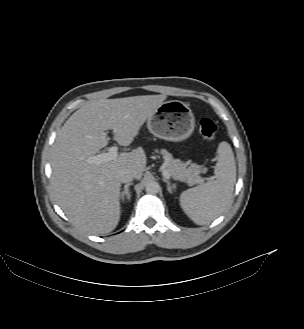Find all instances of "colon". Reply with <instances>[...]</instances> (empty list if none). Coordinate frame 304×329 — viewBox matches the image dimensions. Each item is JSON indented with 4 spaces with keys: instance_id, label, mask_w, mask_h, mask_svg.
Instances as JSON below:
<instances>
[{
    "instance_id": "obj_1",
    "label": "colon",
    "mask_w": 304,
    "mask_h": 329,
    "mask_svg": "<svg viewBox=\"0 0 304 329\" xmlns=\"http://www.w3.org/2000/svg\"><path fill=\"white\" fill-rule=\"evenodd\" d=\"M199 131L205 140L213 141L216 134V125L211 119L202 118L199 122Z\"/></svg>"
}]
</instances>
